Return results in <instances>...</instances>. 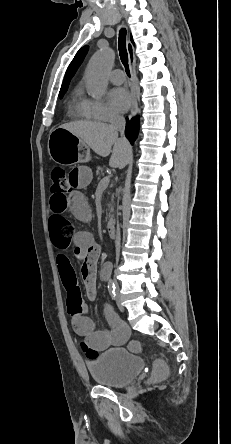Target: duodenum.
<instances>
[{"label": "duodenum", "mask_w": 231, "mask_h": 444, "mask_svg": "<svg viewBox=\"0 0 231 444\" xmlns=\"http://www.w3.org/2000/svg\"><path fill=\"white\" fill-rule=\"evenodd\" d=\"M117 223L116 220H110L108 221L107 225H106V233L110 238H114L116 237V228H117ZM108 277L106 272L102 273V278L106 279Z\"/></svg>", "instance_id": "1"}]
</instances>
